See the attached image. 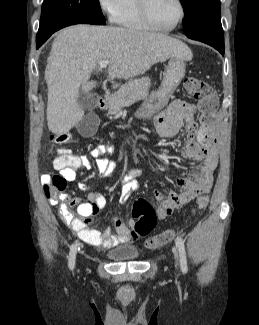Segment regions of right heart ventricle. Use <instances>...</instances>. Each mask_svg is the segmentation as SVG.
<instances>
[{"mask_svg":"<svg viewBox=\"0 0 259 325\" xmlns=\"http://www.w3.org/2000/svg\"><path fill=\"white\" fill-rule=\"evenodd\" d=\"M114 21L129 29H149L141 17L138 0H124L123 6Z\"/></svg>","mask_w":259,"mask_h":325,"instance_id":"right-heart-ventricle-1","label":"right heart ventricle"}]
</instances>
